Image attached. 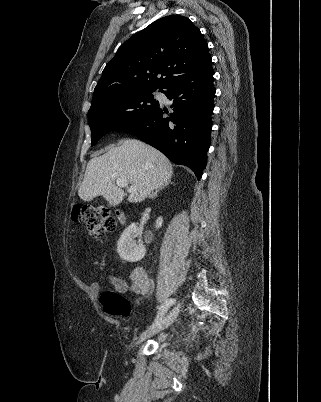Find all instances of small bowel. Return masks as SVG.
Wrapping results in <instances>:
<instances>
[{
    "label": "small bowel",
    "mask_w": 321,
    "mask_h": 402,
    "mask_svg": "<svg viewBox=\"0 0 321 402\" xmlns=\"http://www.w3.org/2000/svg\"><path fill=\"white\" fill-rule=\"evenodd\" d=\"M108 279L116 291L119 293L127 292L129 286L124 279L115 276H109ZM130 280V288L134 293L144 295L150 291V279L143 268L136 267L133 269L130 275ZM91 290L95 293H98L101 290V286L98 283H93L91 284Z\"/></svg>",
    "instance_id": "c3829d8e"
}]
</instances>
